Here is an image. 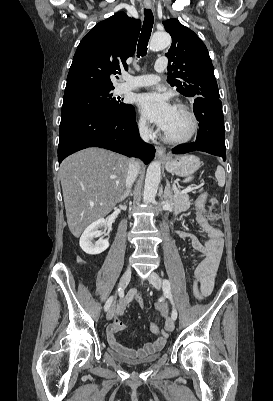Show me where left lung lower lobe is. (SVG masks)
<instances>
[{"label":"left lung lower lobe","mask_w":273,"mask_h":401,"mask_svg":"<svg viewBox=\"0 0 273 401\" xmlns=\"http://www.w3.org/2000/svg\"><path fill=\"white\" fill-rule=\"evenodd\" d=\"M194 114L199 121V132L195 142L172 149L182 154L190 151H204L226 160L225 128L222 103L219 98L197 97L194 100Z\"/></svg>","instance_id":"1"}]
</instances>
